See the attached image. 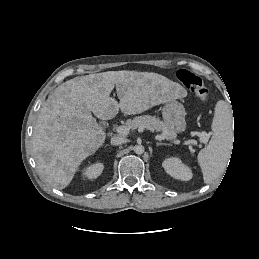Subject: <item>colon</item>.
<instances>
[{"mask_svg": "<svg viewBox=\"0 0 259 259\" xmlns=\"http://www.w3.org/2000/svg\"><path fill=\"white\" fill-rule=\"evenodd\" d=\"M177 78L187 89L194 92L202 102H207L209 91L201 77L188 69H180L177 71Z\"/></svg>", "mask_w": 259, "mask_h": 259, "instance_id": "obj_1", "label": "colon"}]
</instances>
